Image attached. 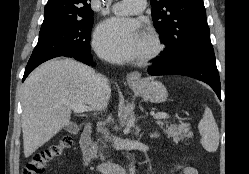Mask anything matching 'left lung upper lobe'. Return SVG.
Wrapping results in <instances>:
<instances>
[{
	"label": "left lung upper lobe",
	"instance_id": "5c2ea615",
	"mask_svg": "<svg viewBox=\"0 0 249 174\" xmlns=\"http://www.w3.org/2000/svg\"><path fill=\"white\" fill-rule=\"evenodd\" d=\"M152 19L166 45L165 62L214 51L203 0H151Z\"/></svg>",
	"mask_w": 249,
	"mask_h": 174
}]
</instances>
